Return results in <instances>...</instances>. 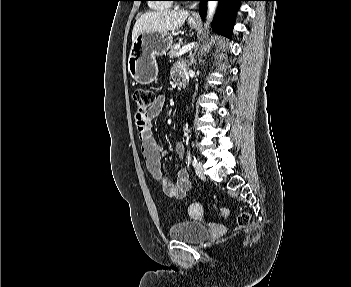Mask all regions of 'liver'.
<instances>
[{"mask_svg": "<svg viewBox=\"0 0 351 287\" xmlns=\"http://www.w3.org/2000/svg\"><path fill=\"white\" fill-rule=\"evenodd\" d=\"M188 15V11L147 12L137 19L132 31V42L141 32L174 31L184 24Z\"/></svg>", "mask_w": 351, "mask_h": 287, "instance_id": "liver-1", "label": "liver"}]
</instances>
